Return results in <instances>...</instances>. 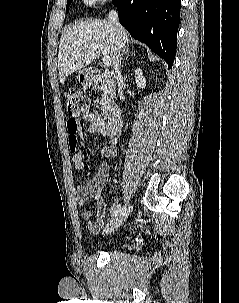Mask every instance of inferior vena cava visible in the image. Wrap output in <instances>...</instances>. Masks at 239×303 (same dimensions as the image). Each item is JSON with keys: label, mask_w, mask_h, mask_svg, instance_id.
Returning a JSON list of instances; mask_svg holds the SVG:
<instances>
[{"label": "inferior vena cava", "mask_w": 239, "mask_h": 303, "mask_svg": "<svg viewBox=\"0 0 239 303\" xmlns=\"http://www.w3.org/2000/svg\"><path fill=\"white\" fill-rule=\"evenodd\" d=\"M109 21L117 28V31L120 32L121 25L118 22V13L116 10H111L108 15ZM121 48H119L116 52V57L114 61V70L117 77H121V71H120V61H121Z\"/></svg>", "instance_id": "602c4592"}]
</instances>
